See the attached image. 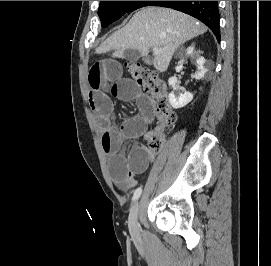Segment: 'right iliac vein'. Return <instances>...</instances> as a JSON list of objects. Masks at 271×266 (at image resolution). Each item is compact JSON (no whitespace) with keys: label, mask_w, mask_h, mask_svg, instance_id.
<instances>
[{"label":"right iliac vein","mask_w":271,"mask_h":266,"mask_svg":"<svg viewBox=\"0 0 271 266\" xmlns=\"http://www.w3.org/2000/svg\"><path fill=\"white\" fill-rule=\"evenodd\" d=\"M139 212H140V203L137 201L132 206L129 217V230L134 238H136L139 235V224H138Z\"/></svg>","instance_id":"obj_1"}]
</instances>
